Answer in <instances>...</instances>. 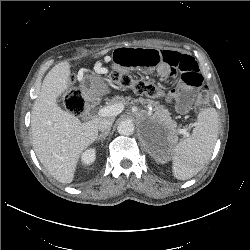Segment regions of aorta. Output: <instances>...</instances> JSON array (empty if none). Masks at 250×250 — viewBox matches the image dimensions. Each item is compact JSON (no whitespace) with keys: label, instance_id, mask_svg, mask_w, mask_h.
Segmentation results:
<instances>
[{"label":"aorta","instance_id":"obj_1","mask_svg":"<svg viewBox=\"0 0 250 250\" xmlns=\"http://www.w3.org/2000/svg\"><path fill=\"white\" fill-rule=\"evenodd\" d=\"M134 124L130 120L121 121L117 127L120 135L129 136L134 133Z\"/></svg>","mask_w":250,"mask_h":250}]
</instances>
